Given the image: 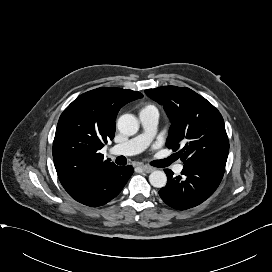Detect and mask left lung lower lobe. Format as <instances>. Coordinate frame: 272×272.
Instances as JSON below:
<instances>
[{
  "mask_svg": "<svg viewBox=\"0 0 272 272\" xmlns=\"http://www.w3.org/2000/svg\"><path fill=\"white\" fill-rule=\"evenodd\" d=\"M224 166L209 164L184 165L181 176L165 169L168 181L159 195L172 208L185 210L195 207L209 198L219 186Z\"/></svg>",
  "mask_w": 272,
  "mask_h": 272,
  "instance_id": "1",
  "label": "left lung lower lobe"
}]
</instances>
